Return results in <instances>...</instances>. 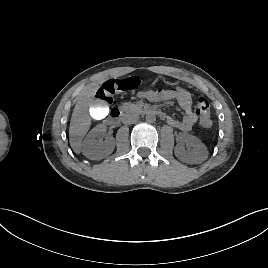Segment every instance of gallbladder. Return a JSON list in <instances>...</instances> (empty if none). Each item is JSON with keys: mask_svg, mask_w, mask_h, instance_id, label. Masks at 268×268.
<instances>
[{"mask_svg": "<svg viewBox=\"0 0 268 268\" xmlns=\"http://www.w3.org/2000/svg\"><path fill=\"white\" fill-rule=\"evenodd\" d=\"M89 114L97 121L104 120L108 113V106L100 100L93 101L88 107Z\"/></svg>", "mask_w": 268, "mask_h": 268, "instance_id": "bac80fb5", "label": "gallbladder"}]
</instances>
